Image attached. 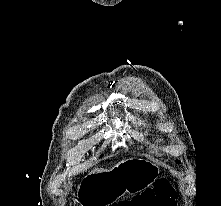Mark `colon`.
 I'll return each mask as SVG.
<instances>
[{
	"label": "colon",
	"instance_id": "obj_1",
	"mask_svg": "<svg viewBox=\"0 0 221 206\" xmlns=\"http://www.w3.org/2000/svg\"><path fill=\"white\" fill-rule=\"evenodd\" d=\"M112 206H176V195L166 179H159L153 188L146 189L132 200H121Z\"/></svg>",
	"mask_w": 221,
	"mask_h": 206
}]
</instances>
